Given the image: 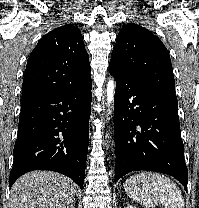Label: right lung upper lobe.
Masks as SVG:
<instances>
[{
	"mask_svg": "<svg viewBox=\"0 0 199 208\" xmlns=\"http://www.w3.org/2000/svg\"><path fill=\"white\" fill-rule=\"evenodd\" d=\"M89 56L80 30L64 25L46 34L31 52L22 101L83 84L90 77Z\"/></svg>",
	"mask_w": 199,
	"mask_h": 208,
	"instance_id": "1",
	"label": "right lung upper lobe"
}]
</instances>
